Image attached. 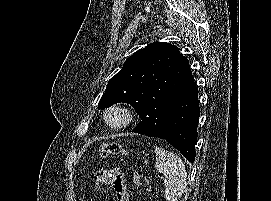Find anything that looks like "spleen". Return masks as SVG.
I'll return each instance as SVG.
<instances>
[{
  "label": "spleen",
  "instance_id": "obj_1",
  "mask_svg": "<svg viewBox=\"0 0 271 201\" xmlns=\"http://www.w3.org/2000/svg\"><path fill=\"white\" fill-rule=\"evenodd\" d=\"M156 170L163 174L165 181V198L168 201H179L186 187V168L182 159L159 146L155 147Z\"/></svg>",
  "mask_w": 271,
  "mask_h": 201
}]
</instances>
